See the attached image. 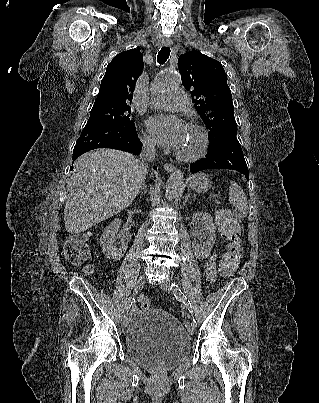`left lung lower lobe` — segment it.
Segmentation results:
<instances>
[{"mask_svg":"<svg viewBox=\"0 0 319 403\" xmlns=\"http://www.w3.org/2000/svg\"><path fill=\"white\" fill-rule=\"evenodd\" d=\"M215 168L236 170L248 179V167L237 138L227 140L214 149L209 148L205 158L190 164L192 174Z\"/></svg>","mask_w":319,"mask_h":403,"instance_id":"obj_1","label":"left lung lower lobe"}]
</instances>
